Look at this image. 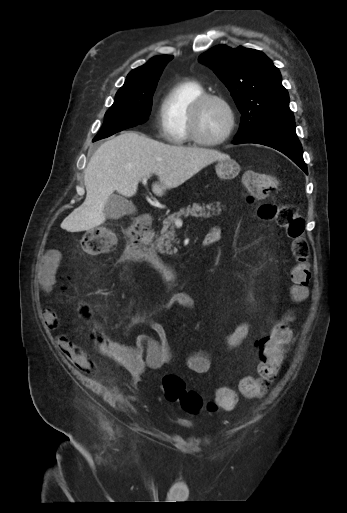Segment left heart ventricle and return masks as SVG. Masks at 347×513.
I'll list each match as a JSON object with an SVG mask.
<instances>
[{
	"label": "left heart ventricle",
	"mask_w": 347,
	"mask_h": 513,
	"mask_svg": "<svg viewBox=\"0 0 347 513\" xmlns=\"http://www.w3.org/2000/svg\"><path fill=\"white\" fill-rule=\"evenodd\" d=\"M229 115L225 107L210 101L202 109L199 121V132L205 139H218L227 130Z\"/></svg>",
	"instance_id": "left-heart-ventricle-1"
}]
</instances>
